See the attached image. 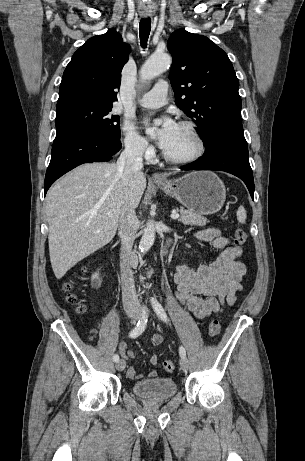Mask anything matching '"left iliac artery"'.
Returning <instances> with one entry per match:
<instances>
[{"label":"left iliac artery","mask_w":305,"mask_h":461,"mask_svg":"<svg viewBox=\"0 0 305 461\" xmlns=\"http://www.w3.org/2000/svg\"><path fill=\"white\" fill-rule=\"evenodd\" d=\"M151 302H152V306H153V309L154 311L156 312L157 316L164 322H168V317H167V314L165 312V310L163 309L162 305L155 299V298H152L151 299ZM179 354L181 357H185L186 356V351L184 349L183 346H181L179 348Z\"/></svg>","instance_id":"1"}]
</instances>
